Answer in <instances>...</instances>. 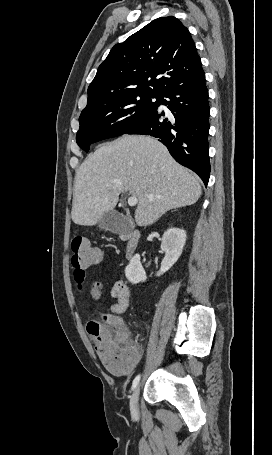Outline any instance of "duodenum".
<instances>
[{"instance_id": "duodenum-1", "label": "duodenum", "mask_w": 272, "mask_h": 455, "mask_svg": "<svg viewBox=\"0 0 272 455\" xmlns=\"http://www.w3.org/2000/svg\"><path fill=\"white\" fill-rule=\"evenodd\" d=\"M140 236L141 235L138 230H132L119 234V237L125 242V254L127 259H131L136 253L140 242Z\"/></svg>"}]
</instances>
